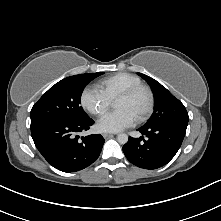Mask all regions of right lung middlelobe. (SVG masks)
Wrapping results in <instances>:
<instances>
[{"instance_id":"dd1d6c3e","label":"right lung middle lobe","mask_w":221,"mask_h":221,"mask_svg":"<svg viewBox=\"0 0 221 221\" xmlns=\"http://www.w3.org/2000/svg\"><path fill=\"white\" fill-rule=\"evenodd\" d=\"M103 72L67 77L53 85L31 109V123L49 120H84L89 116L80 106L84 87Z\"/></svg>"}]
</instances>
